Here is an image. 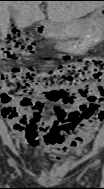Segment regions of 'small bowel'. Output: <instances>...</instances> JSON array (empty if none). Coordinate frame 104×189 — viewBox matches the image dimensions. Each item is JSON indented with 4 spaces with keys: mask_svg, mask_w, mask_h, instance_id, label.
I'll return each mask as SVG.
<instances>
[{
    "mask_svg": "<svg viewBox=\"0 0 104 189\" xmlns=\"http://www.w3.org/2000/svg\"><path fill=\"white\" fill-rule=\"evenodd\" d=\"M58 103L44 117V99L27 103L5 102L2 116L13 138L21 136L31 147L43 146L50 160L60 161L73 149L81 152L103 119V104L92 84H83L64 97L51 100ZM45 164L46 161L43 160Z\"/></svg>",
    "mask_w": 104,
    "mask_h": 189,
    "instance_id": "small-bowel-1",
    "label": "small bowel"
}]
</instances>
